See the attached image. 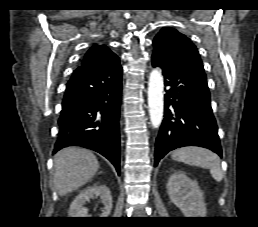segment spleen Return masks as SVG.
Returning a JSON list of instances; mask_svg holds the SVG:
<instances>
[{"label": "spleen", "mask_w": 258, "mask_h": 227, "mask_svg": "<svg viewBox=\"0 0 258 227\" xmlns=\"http://www.w3.org/2000/svg\"><path fill=\"white\" fill-rule=\"evenodd\" d=\"M172 159L189 165H195L202 168H208L212 177L220 182L223 179V173L220 167V158L210 150L199 147H184L175 150Z\"/></svg>", "instance_id": "spleen-1"}]
</instances>
